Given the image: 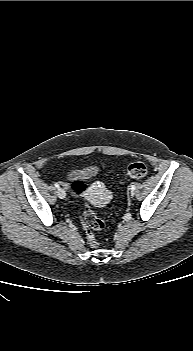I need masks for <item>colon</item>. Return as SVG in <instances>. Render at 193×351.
I'll list each match as a JSON object with an SVG mask.
<instances>
[{"instance_id": "obj_1", "label": "colon", "mask_w": 193, "mask_h": 351, "mask_svg": "<svg viewBox=\"0 0 193 351\" xmlns=\"http://www.w3.org/2000/svg\"><path fill=\"white\" fill-rule=\"evenodd\" d=\"M147 174V166L144 163L137 162L128 166L125 176L133 179H140L147 176ZM86 189L85 183L81 180H75L69 185V192L75 201L78 200ZM81 220L89 244L93 247H98L100 243L96 240L93 230H102L105 228L106 224L95 215L88 204H85Z\"/></svg>"}]
</instances>
